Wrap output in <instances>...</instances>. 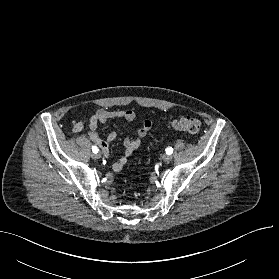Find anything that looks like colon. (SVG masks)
I'll use <instances>...</instances> for the list:
<instances>
[{"instance_id": "colon-1", "label": "colon", "mask_w": 279, "mask_h": 279, "mask_svg": "<svg viewBox=\"0 0 279 279\" xmlns=\"http://www.w3.org/2000/svg\"><path fill=\"white\" fill-rule=\"evenodd\" d=\"M170 128L175 131L196 134L201 129V122L194 117L186 116L180 119L173 120L170 123Z\"/></svg>"}]
</instances>
